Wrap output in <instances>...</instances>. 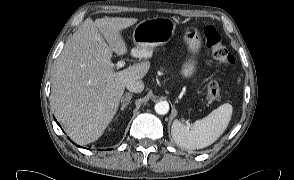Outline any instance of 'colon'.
<instances>
[{"label":"colon","instance_id":"obj_1","mask_svg":"<svg viewBox=\"0 0 294 180\" xmlns=\"http://www.w3.org/2000/svg\"><path fill=\"white\" fill-rule=\"evenodd\" d=\"M204 38L208 48L211 50L212 56L224 63L226 66H231L234 63V57L229 53L224 46L220 34L211 26H207L203 30ZM220 94V86L217 79H212L206 86V99L215 101Z\"/></svg>","mask_w":294,"mask_h":180}]
</instances>
